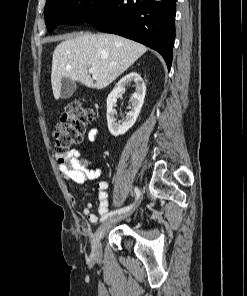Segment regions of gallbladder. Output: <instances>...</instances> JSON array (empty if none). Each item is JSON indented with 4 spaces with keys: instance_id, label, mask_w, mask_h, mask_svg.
<instances>
[{
    "instance_id": "bac80fb5",
    "label": "gallbladder",
    "mask_w": 247,
    "mask_h": 296,
    "mask_svg": "<svg viewBox=\"0 0 247 296\" xmlns=\"http://www.w3.org/2000/svg\"><path fill=\"white\" fill-rule=\"evenodd\" d=\"M76 90V84L74 81L64 77L61 81V92L60 98L61 99H68L70 98Z\"/></svg>"
}]
</instances>
